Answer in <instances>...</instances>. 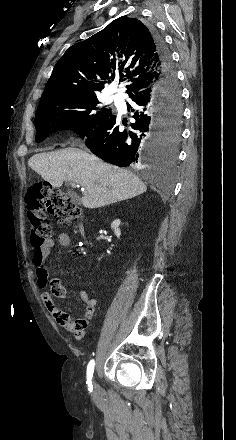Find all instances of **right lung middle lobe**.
<instances>
[{"mask_svg": "<svg viewBox=\"0 0 236 440\" xmlns=\"http://www.w3.org/2000/svg\"><path fill=\"white\" fill-rule=\"evenodd\" d=\"M166 98L180 99V89H170ZM167 120L160 137L163 157L172 160L176 156V146L180 137L181 105L168 111ZM112 115L111 109L100 106L95 94H71L56 96L40 101L36 115V143L59 130H72L84 133L107 120Z\"/></svg>", "mask_w": 236, "mask_h": 440, "instance_id": "1", "label": "right lung middle lobe"}]
</instances>
